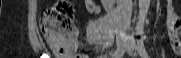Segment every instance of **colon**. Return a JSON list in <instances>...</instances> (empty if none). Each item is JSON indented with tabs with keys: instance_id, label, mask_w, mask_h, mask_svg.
<instances>
[{
	"instance_id": "1",
	"label": "colon",
	"mask_w": 181,
	"mask_h": 58,
	"mask_svg": "<svg viewBox=\"0 0 181 58\" xmlns=\"http://www.w3.org/2000/svg\"><path fill=\"white\" fill-rule=\"evenodd\" d=\"M40 28L47 44L55 54L71 58H86L75 50L78 31L74 23V10L69 1H57L49 7L42 17Z\"/></svg>"
}]
</instances>
